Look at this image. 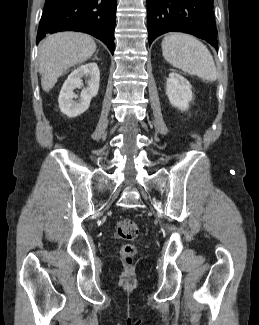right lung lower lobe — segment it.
<instances>
[{
	"label": "right lung lower lobe",
	"mask_w": 259,
	"mask_h": 325,
	"mask_svg": "<svg viewBox=\"0 0 259 325\" xmlns=\"http://www.w3.org/2000/svg\"><path fill=\"white\" fill-rule=\"evenodd\" d=\"M117 0H46L39 23L37 43L59 31L88 33L114 53Z\"/></svg>",
	"instance_id": "obj_1"
}]
</instances>
